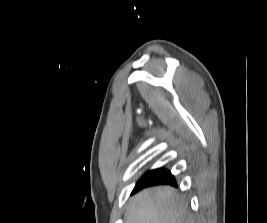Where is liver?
<instances>
[{"instance_id":"1","label":"liver","mask_w":267,"mask_h":223,"mask_svg":"<svg viewBox=\"0 0 267 223\" xmlns=\"http://www.w3.org/2000/svg\"><path fill=\"white\" fill-rule=\"evenodd\" d=\"M125 223H194L188 204L171 187L145 189L136 194Z\"/></svg>"}]
</instances>
